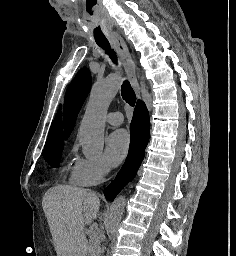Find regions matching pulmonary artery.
Returning a JSON list of instances; mask_svg holds the SVG:
<instances>
[{"label": "pulmonary artery", "instance_id": "pulmonary-artery-1", "mask_svg": "<svg viewBox=\"0 0 236 256\" xmlns=\"http://www.w3.org/2000/svg\"><path fill=\"white\" fill-rule=\"evenodd\" d=\"M105 120L106 122L114 126H118L123 122L122 115L119 112L107 113L105 116Z\"/></svg>", "mask_w": 236, "mask_h": 256}]
</instances>
